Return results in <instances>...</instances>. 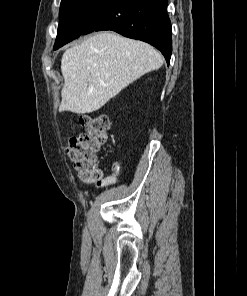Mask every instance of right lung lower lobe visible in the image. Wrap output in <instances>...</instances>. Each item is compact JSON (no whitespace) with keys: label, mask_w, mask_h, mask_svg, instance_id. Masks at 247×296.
<instances>
[{"label":"right lung lower lobe","mask_w":247,"mask_h":296,"mask_svg":"<svg viewBox=\"0 0 247 296\" xmlns=\"http://www.w3.org/2000/svg\"><path fill=\"white\" fill-rule=\"evenodd\" d=\"M168 0H107L88 19L82 34L112 30L145 41L162 52L167 63L172 53Z\"/></svg>","instance_id":"obj_1"}]
</instances>
